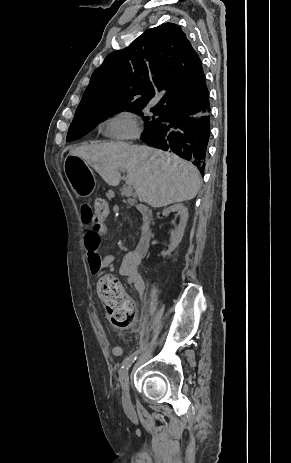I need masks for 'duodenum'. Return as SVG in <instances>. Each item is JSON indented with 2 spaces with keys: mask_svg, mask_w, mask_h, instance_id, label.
<instances>
[{
  "mask_svg": "<svg viewBox=\"0 0 291 463\" xmlns=\"http://www.w3.org/2000/svg\"><path fill=\"white\" fill-rule=\"evenodd\" d=\"M136 212H141L143 220L146 224L135 250L136 253L142 257L147 254L152 238V232L149 228V224L152 221L153 211L151 209H147V206L144 203H139L137 205Z\"/></svg>",
  "mask_w": 291,
  "mask_h": 463,
  "instance_id": "1",
  "label": "duodenum"
}]
</instances>
